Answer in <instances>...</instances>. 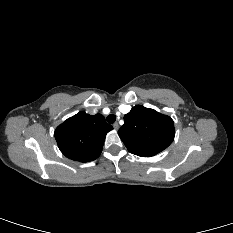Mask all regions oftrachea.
I'll return each mask as SVG.
<instances>
[{
  "label": "trachea",
  "mask_w": 233,
  "mask_h": 233,
  "mask_svg": "<svg viewBox=\"0 0 233 233\" xmlns=\"http://www.w3.org/2000/svg\"><path fill=\"white\" fill-rule=\"evenodd\" d=\"M115 120H116V116L114 114H110V115L107 116V122L108 123L112 124V123L115 122Z\"/></svg>",
  "instance_id": "obj_1"
}]
</instances>
